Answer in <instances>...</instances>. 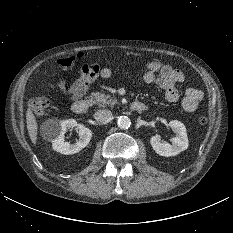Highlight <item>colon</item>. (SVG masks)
<instances>
[{"label": "colon", "mask_w": 233, "mask_h": 233, "mask_svg": "<svg viewBox=\"0 0 233 233\" xmlns=\"http://www.w3.org/2000/svg\"><path fill=\"white\" fill-rule=\"evenodd\" d=\"M82 55H78L76 57H66L61 58L57 61V66L61 70H67L72 68L75 64H83ZM30 109L37 115L45 114L49 107L50 101L46 97L34 98L29 101ZM198 122L200 125H206L208 123V118L206 116H200L198 118Z\"/></svg>", "instance_id": "obj_1"}]
</instances>
